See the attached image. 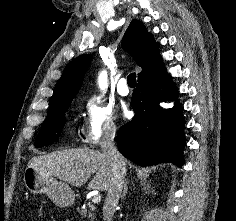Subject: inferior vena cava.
<instances>
[{"label":"inferior vena cava","instance_id":"inferior-vena-cava-1","mask_svg":"<svg viewBox=\"0 0 236 221\" xmlns=\"http://www.w3.org/2000/svg\"><path fill=\"white\" fill-rule=\"evenodd\" d=\"M115 136L116 128L107 129L103 132L100 143L102 154L106 157L107 163L111 167L110 184L103 205L104 221H112L113 219L126 175L125 159L115 146Z\"/></svg>","mask_w":236,"mask_h":221}]
</instances>
